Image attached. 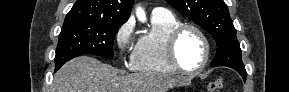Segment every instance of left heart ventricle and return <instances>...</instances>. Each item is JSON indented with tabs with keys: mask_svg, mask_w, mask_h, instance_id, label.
Here are the masks:
<instances>
[{
	"mask_svg": "<svg viewBox=\"0 0 289 92\" xmlns=\"http://www.w3.org/2000/svg\"><path fill=\"white\" fill-rule=\"evenodd\" d=\"M204 43L202 39L193 31H186L180 37L177 44V57L187 70L198 68L204 58Z\"/></svg>",
	"mask_w": 289,
	"mask_h": 92,
	"instance_id": "obj_1",
	"label": "left heart ventricle"
}]
</instances>
